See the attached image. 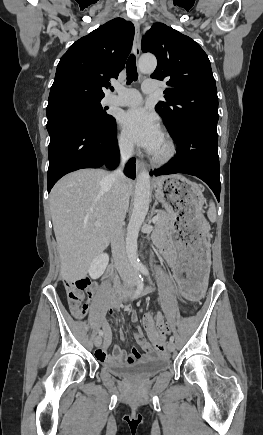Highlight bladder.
Wrapping results in <instances>:
<instances>
[{
	"mask_svg": "<svg viewBox=\"0 0 263 435\" xmlns=\"http://www.w3.org/2000/svg\"><path fill=\"white\" fill-rule=\"evenodd\" d=\"M169 365L168 357L156 354L135 363H104L110 373L121 377L147 378L163 372Z\"/></svg>",
	"mask_w": 263,
	"mask_h": 435,
	"instance_id": "obj_1",
	"label": "bladder"
}]
</instances>
